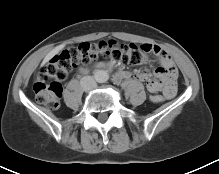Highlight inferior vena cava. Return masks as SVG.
Returning <instances> with one entry per match:
<instances>
[{
  "instance_id": "1",
  "label": "inferior vena cava",
  "mask_w": 219,
  "mask_h": 174,
  "mask_svg": "<svg viewBox=\"0 0 219 174\" xmlns=\"http://www.w3.org/2000/svg\"><path fill=\"white\" fill-rule=\"evenodd\" d=\"M80 84L85 91H91L97 87L96 81L92 76L83 77L80 80Z\"/></svg>"
}]
</instances>
